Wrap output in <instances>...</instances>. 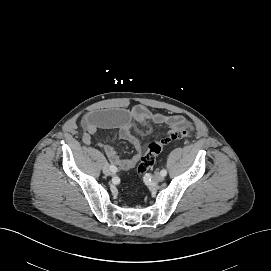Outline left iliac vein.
<instances>
[{"label": "left iliac vein", "instance_id": "left-iliac-vein-1", "mask_svg": "<svg viewBox=\"0 0 271 271\" xmlns=\"http://www.w3.org/2000/svg\"><path fill=\"white\" fill-rule=\"evenodd\" d=\"M164 179V176L161 175V173H156L155 176H154V180L156 182H162Z\"/></svg>", "mask_w": 271, "mask_h": 271}]
</instances>
